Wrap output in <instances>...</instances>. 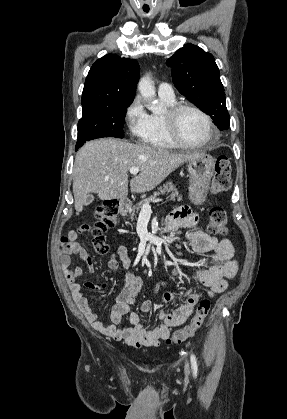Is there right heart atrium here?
<instances>
[{"mask_svg": "<svg viewBox=\"0 0 287 419\" xmlns=\"http://www.w3.org/2000/svg\"><path fill=\"white\" fill-rule=\"evenodd\" d=\"M149 114L142 100L135 97L125 111V122L133 137L141 138L148 128Z\"/></svg>", "mask_w": 287, "mask_h": 419, "instance_id": "right-heart-atrium-1", "label": "right heart atrium"}]
</instances>
